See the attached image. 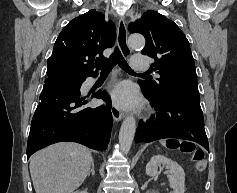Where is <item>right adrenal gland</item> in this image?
Returning a JSON list of instances; mask_svg holds the SVG:
<instances>
[{"instance_id": "1", "label": "right adrenal gland", "mask_w": 237, "mask_h": 193, "mask_svg": "<svg viewBox=\"0 0 237 193\" xmlns=\"http://www.w3.org/2000/svg\"><path fill=\"white\" fill-rule=\"evenodd\" d=\"M90 172L92 173V175H95L94 161L92 162L91 170L89 171L88 176L90 175Z\"/></svg>"}]
</instances>
